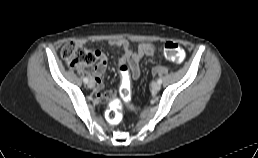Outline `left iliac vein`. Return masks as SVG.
I'll return each mask as SVG.
<instances>
[{"instance_id": "1", "label": "left iliac vein", "mask_w": 258, "mask_h": 158, "mask_svg": "<svg viewBox=\"0 0 258 158\" xmlns=\"http://www.w3.org/2000/svg\"><path fill=\"white\" fill-rule=\"evenodd\" d=\"M151 87H152V90L155 91V92L159 91L160 88H161V86H160V84L158 82L152 83Z\"/></svg>"}]
</instances>
